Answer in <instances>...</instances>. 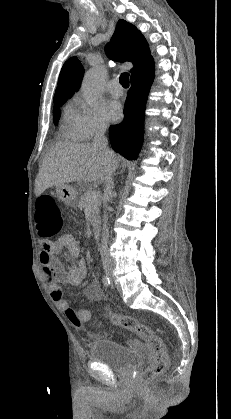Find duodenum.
<instances>
[{
  "label": "duodenum",
  "instance_id": "410a0bca",
  "mask_svg": "<svg viewBox=\"0 0 231 419\" xmlns=\"http://www.w3.org/2000/svg\"><path fill=\"white\" fill-rule=\"evenodd\" d=\"M92 232L93 235L98 238L100 236L101 233V225L100 222L98 220H95L92 224Z\"/></svg>",
  "mask_w": 231,
  "mask_h": 419
}]
</instances>
